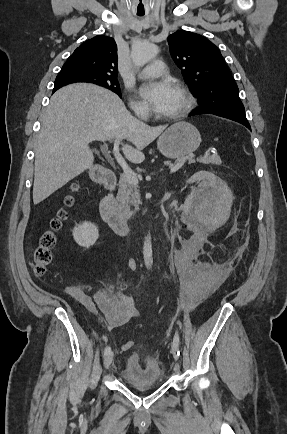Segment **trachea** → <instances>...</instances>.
<instances>
[{"mask_svg": "<svg viewBox=\"0 0 287 434\" xmlns=\"http://www.w3.org/2000/svg\"><path fill=\"white\" fill-rule=\"evenodd\" d=\"M139 16H142L143 14H138Z\"/></svg>", "mask_w": 287, "mask_h": 434, "instance_id": "3493384b", "label": "trachea"}]
</instances>
